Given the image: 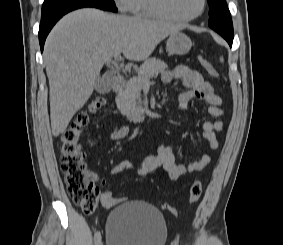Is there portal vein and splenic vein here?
<instances>
[{
    "label": "portal vein and splenic vein",
    "mask_w": 283,
    "mask_h": 245,
    "mask_svg": "<svg viewBox=\"0 0 283 245\" xmlns=\"http://www.w3.org/2000/svg\"><path fill=\"white\" fill-rule=\"evenodd\" d=\"M119 57H120V53H117L114 58H115V60H116V59L119 58ZM113 63L116 64V62H113ZM121 68H122L123 71H127V70H128V69H126V68L124 69L123 66H121ZM148 83H149V79H146V80H145V84H148Z\"/></svg>",
    "instance_id": "18ae733b"
}]
</instances>
